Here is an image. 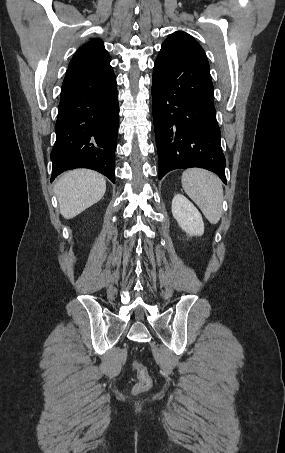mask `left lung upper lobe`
Returning <instances> with one entry per match:
<instances>
[{
	"label": "left lung upper lobe",
	"mask_w": 285,
	"mask_h": 453,
	"mask_svg": "<svg viewBox=\"0 0 285 453\" xmlns=\"http://www.w3.org/2000/svg\"><path fill=\"white\" fill-rule=\"evenodd\" d=\"M165 49H172L194 58L209 67L207 57L202 47L189 34L177 31L172 33L162 44Z\"/></svg>",
	"instance_id": "5c2ea615"
}]
</instances>
